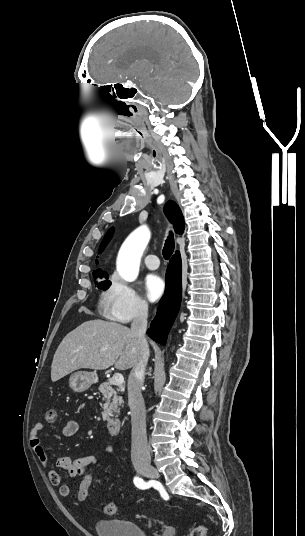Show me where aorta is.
Wrapping results in <instances>:
<instances>
[{
    "instance_id": "obj_1",
    "label": "aorta",
    "mask_w": 305,
    "mask_h": 536,
    "mask_svg": "<svg viewBox=\"0 0 305 536\" xmlns=\"http://www.w3.org/2000/svg\"><path fill=\"white\" fill-rule=\"evenodd\" d=\"M150 237V230L141 226L132 232L121 246L117 271L125 281L132 282L138 277L141 257Z\"/></svg>"
}]
</instances>
